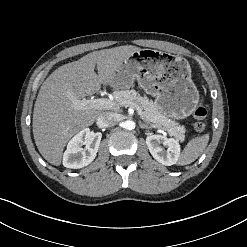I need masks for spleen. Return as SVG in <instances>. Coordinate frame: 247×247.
<instances>
[{"mask_svg":"<svg viewBox=\"0 0 247 247\" xmlns=\"http://www.w3.org/2000/svg\"><path fill=\"white\" fill-rule=\"evenodd\" d=\"M209 142V134H204L190 140L180 155L178 164L188 165L194 162L205 150Z\"/></svg>","mask_w":247,"mask_h":247,"instance_id":"1","label":"spleen"}]
</instances>
